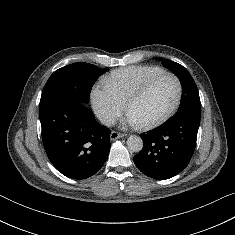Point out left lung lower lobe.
<instances>
[{
  "label": "left lung lower lobe",
  "mask_w": 235,
  "mask_h": 235,
  "mask_svg": "<svg viewBox=\"0 0 235 235\" xmlns=\"http://www.w3.org/2000/svg\"><path fill=\"white\" fill-rule=\"evenodd\" d=\"M200 116L196 113L174 116L158 128L141 134L144 146L134 157L138 169L158 180L180 173L194 153Z\"/></svg>",
  "instance_id": "0a47b994"
}]
</instances>
